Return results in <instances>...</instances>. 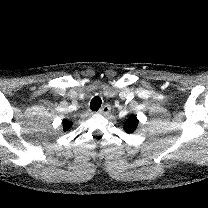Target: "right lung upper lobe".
<instances>
[{"label":"right lung upper lobe","mask_w":208,"mask_h":208,"mask_svg":"<svg viewBox=\"0 0 208 208\" xmlns=\"http://www.w3.org/2000/svg\"><path fill=\"white\" fill-rule=\"evenodd\" d=\"M72 125H73V123L70 122L69 120H67V119H64L63 120V128H64V131L69 130L72 127Z\"/></svg>","instance_id":"right-lung-upper-lobe-1"}]
</instances>
